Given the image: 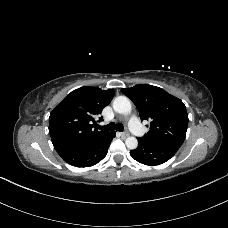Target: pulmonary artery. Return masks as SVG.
<instances>
[{
  "label": "pulmonary artery",
  "mask_w": 228,
  "mask_h": 228,
  "mask_svg": "<svg viewBox=\"0 0 228 228\" xmlns=\"http://www.w3.org/2000/svg\"><path fill=\"white\" fill-rule=\"evenodd\" d=\"M130 129L137 135L141 136L143 134V129L138 121V119L133 116L129 120Z\"/></svg>",
  "instance_id": "pulmonary-artery-1"
}]
</instances>
